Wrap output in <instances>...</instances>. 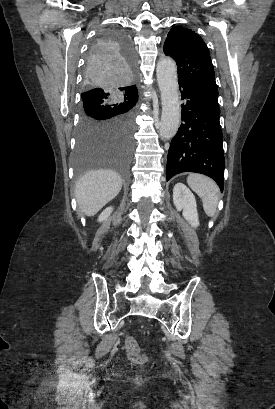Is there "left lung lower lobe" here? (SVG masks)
I'll return each mask as SVG.
<instances>
[{"label":"left lung lower lobe","mask_w":275,"mask_h":409,"mask_svg":"<svg viewBox=\"0 0 275 409\" xmlns=\"http://www.w3.org/2000/svg\"><path fill=\"white\" fill-rule=\"evenodd\" d=\"M182 121L171 141L167 158L169 180L182 172H197L213 178L224 187L223 134L219 123L218 94L191 83H180Z\"/></svg>","instance_id":"0a47b994"}]
</instances>
